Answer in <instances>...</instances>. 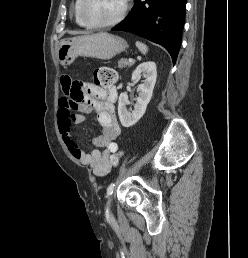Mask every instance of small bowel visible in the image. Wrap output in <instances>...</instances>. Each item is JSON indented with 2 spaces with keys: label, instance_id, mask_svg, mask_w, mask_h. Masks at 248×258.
<instances>
[{
  "label": "small bowel",
  "instance_id": "1",
  "mask_svg": "<svg viewBox=\"0 0 248 258\" xmlns=\"http://www.w3.org/2000/svg\"><path fill=\"white\" fill-rule=\"evenodd\" d=\"M77 84L69 78L61 79L64 95L59 100V130L72 157L81 164L90 166L96 176H105L111 171L112 157L118 151L116 139L121 131L115 113L118 91L114 86L89 85L86 94L75 99L74 96L79 95ZM75 109L79 112L74 113ZM93 112L97 115L101 133L92 136V143L96 148L84 152L75 140L73 126L85 121V113Z\"/></svg>",
  "mask_w": 248,
  "mask_h": 258
}]
</instances>
